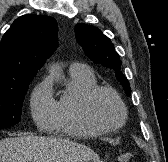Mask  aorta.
<instances>
[{
  "mask_svg": "<svg viewBox=\"0 0 168 162\" xmlns=\"http://www.w3.org/2000/svg\"><path fill=\"white\" fill-rule=\"evenodd\" d=\"M53 74L56 76V77H60V73L58 71H53Z\"/></svg>",
  "mask_w": 168,
  "mask_h": 162,
  "instance_id": "obj_1",
  "label": "aorta"
}]
</instances>
